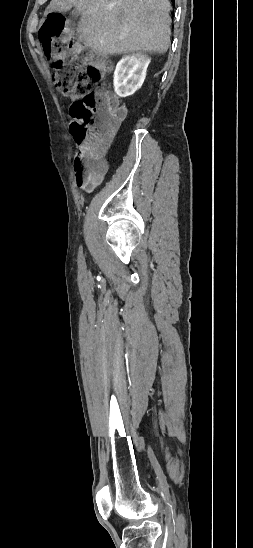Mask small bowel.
<instances>
[{"label": "small bowel", "instance_id": "c3829d8e", "mask_svg": "<svg viewBox=\"0 0 253 548\" xmlns=\"http://www.w3.org/2000/svg\"><path fill=\"white\" fill-rule=\"evenodd\" d=\"M100 177H101V176H100ZM100 177H99V178H100ZM99 178H97L96 180H94V181H92V182L83 183V184H81V185H79V186L86 187L88 190H91V189H93V187H94L96 181H97Z\"/></svg>", "mask_w": 253, "mask_h": 548}]
</instances>
